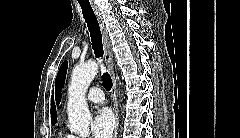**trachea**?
Instances as JSON below:
<instances>
[{
    "label": "trachea",
    "instance_id": "trachea-1",
    "mask_svg": "<svg viewBox=\"0 0 240 138\" xmlns=\"http://www.w3.org/2000/svg\"><path fill=\"white\" fill-rule=\"evenodd\" d=\"M82 9V14L87 23L88 30L90 32L92 48L96 58L103 57V44H102V34L100 31L99 23L96 15L91 7V5L80 4ZM102 84L107 91L112 88V79L107 72L102 75Z\"/></svg>",
    "mask_w": 240,
    "mask_h": 138
}]
</instances>
